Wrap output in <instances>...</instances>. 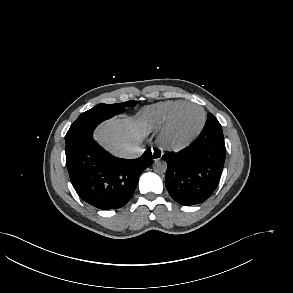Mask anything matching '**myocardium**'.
<instances>
[{
    "label": "myocardium",
    "mask_w": 293,
    "mask_h": 293,
    "mask_svg": "<svg viewBox=\"0 0 293 293\" xmlns=\"http://www.w3.org/2000/svg\"><path fill=\"white\" fill-rule=\"evenodd\" d=\"M191 106L197 107L198 109L201 110V113H202L201 123H200L198 129L196 130V132L190 138H188L184 142L176 143V142L172 141V139H171V131L173 129L176 118H177L178 114L184 108L191 107ZM206 120H207L206 111L204 110V108L202 106H200L196 103H193V102H185V103L181 104L172 112L167 123L164 125V127L162 128V130L159 134V143H160L161 147L165 150L172 151V152H179V151H182V150L188 148L199 137V135L203 131L205 124H206Z\"/></svg>",
    "instance_id": "myocardium-1"
}]
</instances>
